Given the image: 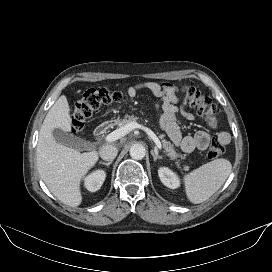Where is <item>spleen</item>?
<instances>
[{"label": "spleen", "mask_w": 272, "mask_h": 272, "mask_svg": "<svg viewBox=\"0 0 272 272\" xmlns=\"http://www.w3.org/2000/svg\"><path fill=\"white\" fill-rule=\"evenodd\" d=\"M230 161L220 158L208 162L183 177L187 198L193 204L208 200L231 173Z\"/></svg>", "instance_id": "1"}]
</instances>
